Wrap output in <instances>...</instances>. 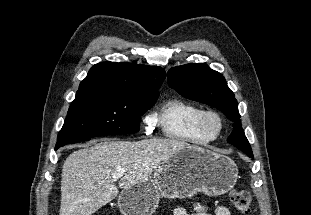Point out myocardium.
<instances>
[{
    "mask_svg": "<svg viewBox=\"0 0 311 215\" xmlns=\"http://www.w3.org/2000/svg\"><path fill=\"white\" fill-rule=\"evenodd\" d=\"M223 125L224 122L222 116L214 110H204L198 120L200 131L212 139L220 134Z\"/></svg>",
    "mask_w": 311,
    "mask_h": 215,
    "instance_id": "obj_1",
    "label": "myocardium"
}]
</instances>
